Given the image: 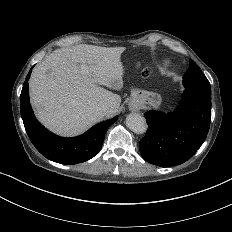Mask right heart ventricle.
<instances>
[{"label": "right heart ventricle", "instance_id": "right-heart-ventricle-1", "mask_svg": "<svg viewBox=\"0 0 232 232\" xmlns=\"http://www.w3.org/2000/svg\"><path fill=\"white\" fill-rule=\"evenodd\" d=\"M170 66V62L168 60H162L158 65V70L160 72H165Z\"/></svg>", "mask_w": 232, "mask_h": 232}]
</instances>
